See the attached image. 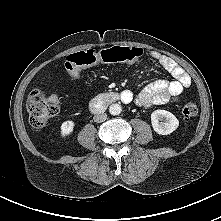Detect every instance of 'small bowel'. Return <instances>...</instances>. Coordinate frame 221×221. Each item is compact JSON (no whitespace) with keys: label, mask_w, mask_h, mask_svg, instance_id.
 Wrapping results in <instances>:
<instances>
[{"label":"small bowel","mask_w":221,"mask_h":221,"mask_svg":"<svg viewBox=\"0 0 221 221\" xmlns=\"http://www.w3.org/2000/svg\"><path fill=\"white\" fill-rule=\"evenodd\" d=\"M152 56L171 74L173 80H159L147 85L136 97V104L143 108L176 101L184 89L191 85L190 76L173 59L153 53ZM124 93L132 94L129 91Z\"/></svg>","instance_id":"c3829d8e"}]
</instances>
